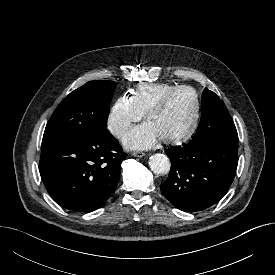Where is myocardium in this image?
<instances>
[{
  "mask_svg": "<svg viewBox=\"0 0 275 275\" xmlns=\"http://www.w3.org/2000/svg\"><path fill=\"white\" fill-rule=\"evenodd\" d=\"M181 90H189L194 95L195 110H194L193 119L191 121L190 126L184 133H182L178 136H175V137L162 139V141L167 144H180V143L186 142L195 133V131L198 127V124H199L200 112H201V102H200V96H199L198 91L190 85H177V86L171 88L170 90L166 91L163 95H161V97L145 113V119L148 121V119L153 114L158 113L165 107L167 101L174 93L181 91Z\"/></svg>",
  "mask_w": 275,
  "mask_h": 275,
  "instance_id": "f54148a6",
  "label": "myocardium"
}]
</instances>
